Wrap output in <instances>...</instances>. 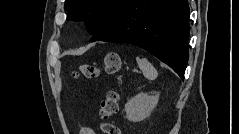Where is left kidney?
I'll use <instances>...</instances> for the list:
<instances>
[{
  "mask_svg": "<svg viewBox=\"0 0 239 134\" xmlns=\"http://www.w3.org/2000/svg\"><path fill=\"white\" fill-rule=\"evenodd\" d=\"M159 93H140L128 100L125 105L126 118L132 122H140L149 117L158 103Z\"/></svg>",
  "mask_w": 239,
  "mask_h": 134,
  "instance_id": "obj_1",
  "label": "left kidney"
}]
</instances>
